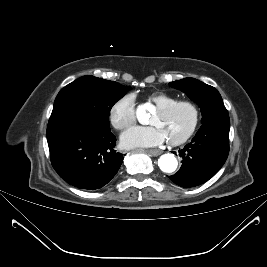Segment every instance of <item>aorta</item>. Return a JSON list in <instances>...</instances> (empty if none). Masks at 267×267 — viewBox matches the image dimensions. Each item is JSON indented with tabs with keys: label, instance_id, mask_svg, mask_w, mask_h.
<instances>
[{
	"label": "aorta",
	"instance_id": "1",
	"mask_svg": "<svg viewBox=\"0 0 267 267\" xmlns=\"http://www.w3.org/2000/svg\"><path fill=\"white\" fill-rule=\"evenodd\" d=\"M147 114V106L140 105L136 110L137 118L143 123ZM159 168L165 173H172L177 169L178 161L173 154H164L158 159Z\"/></svg>",
	"mask_w": 267,
	"mask_h": 267
}]
</instances>
